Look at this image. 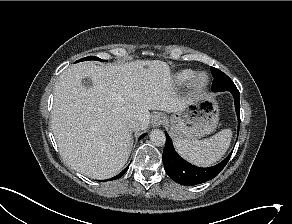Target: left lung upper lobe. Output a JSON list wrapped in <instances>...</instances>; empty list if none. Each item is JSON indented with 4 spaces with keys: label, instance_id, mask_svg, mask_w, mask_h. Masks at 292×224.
<instances>
[{
    "label": "left lung upper lobe",
    "instance_id": "left-lung-upper-lobe-1",
    "mask_svg": "<svg viewBox=\"0 0 292 224\" xmlns=\"http://www.w3.org/2000/svg\"><path fill=\"white\" fill-rule=\"evenodd\" d=\"M211 72L214 77L212 83V91H222L224 88L229 87L230 85L234 84L232 80L222 71L211 67Z\"/></svg>",
    "mask_w": 292,
    "mask_h": 224
}]
</instances>
